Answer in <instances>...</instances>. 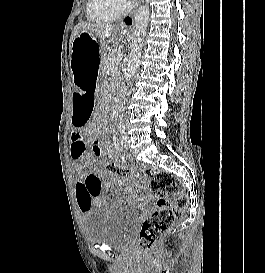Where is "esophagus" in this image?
<instances>
[{"mask_svg": "<svg viewBox=\"0 0 265 273\" xmlns=\"http://www.w3.org/2000/svg\"><path fill=\"white\" fill-rule=\"evenodd\" d=\"M142 1H143V0H137V2H136V4H135V7H134V9H133V11H132V13H131L129 16H126V17L123 18V20H122V22H121V24H122L123 26L131 27V26L133 25V22H134V20H133L134 13H135L137 7L140 5V3H141Z\"/></svg>", "mask_w": 265, "mask_h": 273, "instance_id": "34e87169", "label": "esophagus"}]
</instances>
